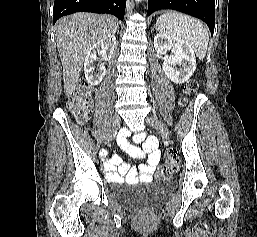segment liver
<instances>
[{"mask_svg": "<svg viewBox=\"0 0 257 237\" xmlns=\"http://www.w3.org/2000/svg\"><path fill=\"white\" fill-rule=\"evenodd\" d=\"M118 28L114 17L93 13H75L60 19L56 25V41L63 66L64 93L75 90L84 59L89 49Z\"/></svg>", "mask_w": 257, "mask_h": 237, "instance_id": "1", "label": "liver"}]
</instances>
